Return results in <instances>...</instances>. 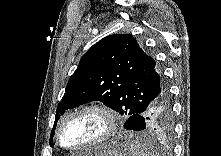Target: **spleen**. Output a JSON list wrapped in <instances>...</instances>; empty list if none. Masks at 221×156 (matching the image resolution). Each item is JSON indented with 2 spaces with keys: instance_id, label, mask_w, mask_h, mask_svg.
Returning a JSON list of instances; mask_svg holds the SVG:
<instances>
[{
  "instance_id": "obj_1",
  "label": "spleen",
  "mask_w": 221,
  "mask_h": 156,
  "mask_svg": "<svg viewBox=\"0 0 221 156\" xmlns=\"http://www.w3.org/2000/svg\"><path fill=\"white\" fill-rule=\"evenodd\" d=\"M131 156H154L155 152L149 147V144L142 137L125 141Z\"/></svg>"
}]
</instances>
